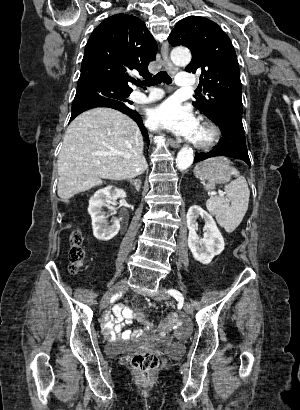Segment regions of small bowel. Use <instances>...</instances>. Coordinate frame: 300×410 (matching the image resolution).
Wrapping results in <instances>:
<instances>
[{
    "mask_svg": "<svg viewBox=\"0 0 300 410\" xmlns=\"http://www.w3.org/2000/svg\"><path fill=\"white\" fill-rule=\"evenodd\" d=\"M133 320L143 324L144 328L137 331L125 330L124 327L129 325ZM151 323L141 314L131 311L123 304H116L109 309L103 317V334L109 340L118 338H130L139 336L144 330H147Z\"/></svg>",
    "mask_w": 300,
    "mask_h": 410,
    "instance_id": "obj_1",
    "label": "small bowel"
}]
</instances>
